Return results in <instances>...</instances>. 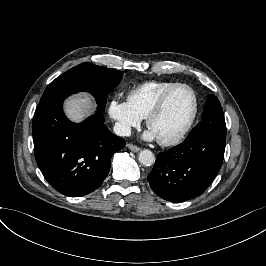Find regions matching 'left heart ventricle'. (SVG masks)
Listing matches in <instances>:
<instances>
[{"instance_id": "left-heart-ventricle-1", "label": "left heart ventricle", "mask_w": 266, "mask_h": 266, "mask_svg": "<svg viewBox=\"0 0 266 266\" xmlns=\"http://www.w3.org/2000/svg\"><path fill=\"white\" fill-rule=\"evenodd\" d=\"M195 102L187 88L176 89L163 110L150 122V128L159 139L175 137L187 125L194 112Z\"/></svg>"}]
</instances>
